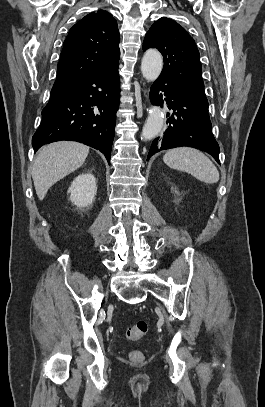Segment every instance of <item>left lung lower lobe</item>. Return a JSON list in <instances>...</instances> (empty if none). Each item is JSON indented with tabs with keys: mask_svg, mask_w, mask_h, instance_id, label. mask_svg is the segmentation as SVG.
<instances>
[{
	"mask_svg": "<svg viewBox=\"0 0 265 407\" xmlns=\"http://www.w3.org/2000/svg\"><path fill=\"white\" fill-rule=\"evenodd\" d=\"M150 99L161 107L166 102L173 113L167 121L169 127L163 139L153 141L147 160L164 149L190 146L208 152L219 163V145L211 131L208 105L198 102L162 75L151 87Z\"/></svg>",
	"mask_w": 265,
	"mask_h": 407,
	"instance_id": "1",
	"label": "left lung lower lobe"
}]
</instances>
